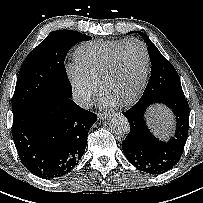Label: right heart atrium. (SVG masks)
Segmentation results:
<instances>
[{"label": "right heart atrium", "instance_id": "1", "mask_svg": "<svg viewBox=\"0 0 203 203\" xmlns=\"http://www.w3.org/2000/svg\"><path fill=\"white\" fill-rule=\"evenodd\" d=\"M66 75L77 103L83 107L88 106L97 92V82L86 74L77 63H69L66 66Z\"/></svg>", "mask_w": 203, "mask_h": 203}]
</instances>
